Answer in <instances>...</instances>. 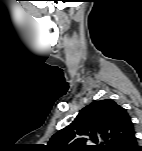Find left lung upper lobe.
Segmentation results:
<instances>
[{
    "instance_id": "5c2ea615",
    "label": "left lung upper lobe",
    "mask_w": 142,
    "mask_h": 151,
    "mask_svg": "<svg viewBox=\"0 0 142 151\" xmlns=\"http://www.w3.org/2000/svg\"><path fill=\"white\" fill-rule=\"evenodd\" d=\"M134 131L127 111L111 99L94 101L84 107L74 121L54 134L53 151H118ZM100 145H90L98 143Z\"/></svg>"
}]
</instances>
